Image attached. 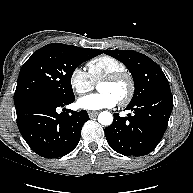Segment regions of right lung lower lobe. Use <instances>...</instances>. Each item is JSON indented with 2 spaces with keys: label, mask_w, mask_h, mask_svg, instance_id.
Listing matches in <instances>:
<instances>
[{
  "label": "right lung lower lobe",
  "mask_w": 193,
  "mask_h": 193,
  "mask_svg": "<svg viewBox=\"0 0 193 193\" xmlns=\"http://www.w3.org/2000/svg\"><path fill=\"white\" fill-rule=\"evenodd\" d=\"M74 100L75 97L62 99L51 94H41L15 105L19 131L35 153L45 158H57L76 147L82 126L89 120L87 111L67 109L60 114L56 112L57 107L68 105Z\"/></svg>",
  "instance_id": "98d812e1"
}]
</instances>
